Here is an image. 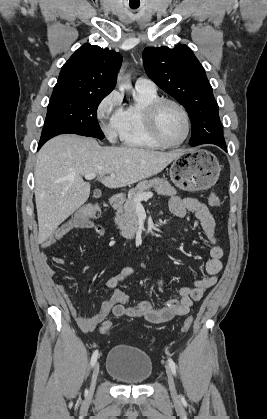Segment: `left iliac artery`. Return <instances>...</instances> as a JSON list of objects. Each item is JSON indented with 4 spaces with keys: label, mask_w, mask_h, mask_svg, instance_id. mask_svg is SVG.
Wrapping results in <instances>:
<instances>
[{
    "label": "left iliac artery",
    "mask_w": 267,
    "mask_h": 419,
    "mask_svg": "<svg viewBox=\"0 0 267 419\" xmlns=\"http://www.w3.org/2000/svg\"><path fill=\"white\" fill-rule=\"evenodd\" d=\"M168 364H169V367L171 368L172 373L176 375V365L171 358H168Z\"/></svg>",
    "instance_id": "1"
}]
</instances>
